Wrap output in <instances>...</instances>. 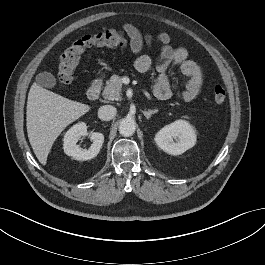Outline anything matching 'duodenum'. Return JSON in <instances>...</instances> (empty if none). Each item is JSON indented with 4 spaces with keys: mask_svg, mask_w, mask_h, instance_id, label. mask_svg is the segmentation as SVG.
<instances>
[{
    "mask_svg": "<svg viewBox=\"0 0 265 265\" xmlns=\"http://www.w3.org/2000/svg\"><path fill=\"white\" fill-rule=\"evenodd\" d=\"M102 88V82L100 80H96L91 83L87 90V97L91 100L97 99Z\"/></svg>",
    "mask_w": 265,
    "mask_h": 265,
    "instance_id": "obj_1",
    "label": "duodenum"
}]
</instances>
